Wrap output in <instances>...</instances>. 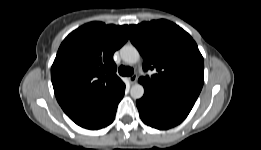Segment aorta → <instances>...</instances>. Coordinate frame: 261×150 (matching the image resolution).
<instances>
[{"instance_id":"762f6f07","label":"aorta","mask_w":261,"mask_h":150,"mask_svg":"<svg viewBox=\"0 0 261 150\" xmlns=\"http://www.w3.org/2000/svg\"><path fill=\"white\" fill-rule=\"evenodd\" d=\"M121 58L127 64H135L139 61L140 54L132 45H125L120 50ZM130 95L134 99H140L144 95V87L140 83H135L130 90Z\"/></svg>"}]
</instances>
